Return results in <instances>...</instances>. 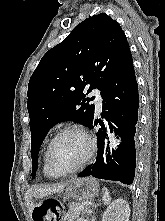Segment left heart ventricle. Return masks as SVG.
<instances>
[{
	"label": "left heart ventricle",
	"mask_w": 165,
	"mask_h": 221,
	"mask_svg": "<svg viewBox=\"0 0 165 221\" xmlns=\"http://www.w3.org/2000/svg\"><path fill=\"white\" fill-rule=\"evenodd\" d=\"M85 138L77 132L61 135L51 148V161L58 170H67L76 166L87 152Z\"/></svg>",
	"instance_id": "obj_1"
}]
</instances>
